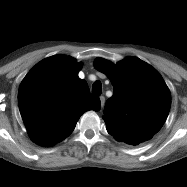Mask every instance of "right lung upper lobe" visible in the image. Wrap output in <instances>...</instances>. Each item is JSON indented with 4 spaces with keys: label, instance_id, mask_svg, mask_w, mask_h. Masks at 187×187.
Returning <instances> with one entry per match:
<instances>
[{
    "label": "right lung upper lobe",
    "instance_id": "obj_1",
    "mask_svg": "<svg viewBox=\"0 0 187 187\" xmlns=\"http://www.w3.org/2000/svg\"><path fill=\"white\" fill-rule=\"evenodd\" d=\"M81 67L70 56L55 55L40 61L21 82L19 109L36 144L55 145L71 134L84 112L100 110V99L78 77Z\"/></svg>",
    "mask_w": 187,
    "mask_h": 187
}]
</instances>
